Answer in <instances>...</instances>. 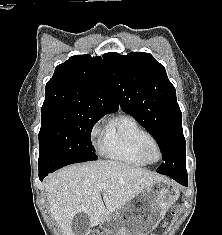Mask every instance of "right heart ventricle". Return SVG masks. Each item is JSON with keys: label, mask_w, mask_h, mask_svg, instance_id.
I'll return each instance as SVG.
<instances>
[{"label": "right heart ventricle", "mask_w": 222, "mask_h": 235, "mask_svg": "<svg viewBox=\"0 0 222 235\" xmlns=\"http://www.w3.org/2000/svg\"><path fill=\"white\" fill-rule=\"evenodd\" d=\"M154 141L153 136L131 115L120 114L109 120L99 143L100 153L126 165L144 167L140 150L145 143Z\"/></svg>", "instance_id": "right-heart-ventricle-1"}]
</instances>
